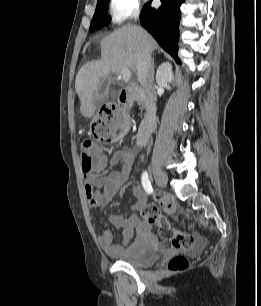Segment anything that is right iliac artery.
<instances>
[{"label":"right iliac artery","instance_id":"1","mask_svg":"<svg viewBox=\"0 0 261 306\" xmlns=\"http://www.w3.org/2000/svg\"><path fill=\"white\" fill-rule=\"evenodd\" d=\"M141 180H142V185H143L144 190L148 194H151L153 192V189L149 181L148 173L146 171L143 172Z\"/></svg>","mask_w":261,"mask_h":306}]
</instances>
